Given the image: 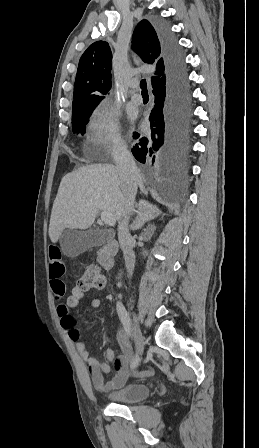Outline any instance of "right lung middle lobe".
I'll list each match as a JSON object with an SVG mask.
<instances>
[{"label": "right lung middle lobe", "mask_w": 259, "mask_h": 448, "mask_svg": "<svg viewBox=\"0 0 259 448\" xmlns=\"http://www.w3.org/2000/svg\"><path fill=\"white\" fill-rule=\"evenodd\" d=\"M95 107H89L81 110L72 111V130L73 133H85V125Z\"/></svg>", "instance_id": "right-lung-middle-lobe-1"}]
</instances>
